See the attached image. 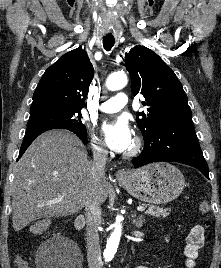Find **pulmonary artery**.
<instances>
[{"label": "pulmonary artery", "mask_w": 221, "mask_h": 268, "mask_svg": "<svg viewBox=\"0 0 221 268\" xmlns=\"http://www.w3.org/2000/svg\"><path fill=\"white\" fill-rule=\"evenodd\" d=\"M128 102V97L125 93H118L109 100L100 105V110L105 113H115L120 111Z\"/></svg>", "instance_id": "1"}]
</instances>
